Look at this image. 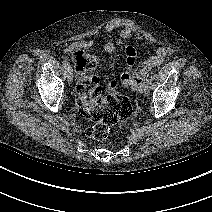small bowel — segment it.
Here are the masks:
<instances>
[{"instance_id":"1","label":"small bowel","mask_w":212,"mask_h":212,"mask_svg":"<svg viewBox=\"0 0 212 212\" xmlns=\"http://www.w3.org/2000/svg\"><path fill=\"white\" fill-rule=\"evenodd\" d=\"M117 28H120L119 38L116 40H110L104 45L103 49L104 52L107 54L114 53L115 50L121 45L122 41L124 40H135L137 42L145 41L144 36L138 30H136L134 26H132L129 23L110 21L105 25L104 31L111 32ZM93 45H94L93 40H80L65 47L63 49V52L75 53L76 51L89 49ZM170 53L171 51L169 48L160 47L156 50V52L153 55L143 59L137 66L138 52L134 47L127 46L125 48V62H124L125 71L122 75L124 74L135 75L139 80L142 81L144 75L153 68L160 65L164 60V58L170 55ZM109 67L113 69L116 66L114 64H110ZM137 86L138 85H134L131 88L135 89Z\"/></svg>"}]
</instances>
